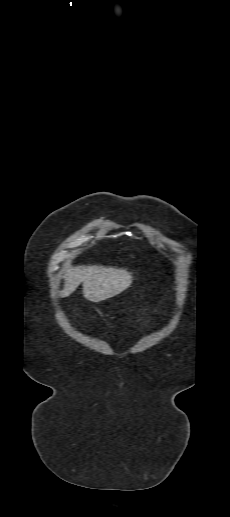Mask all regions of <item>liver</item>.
I'll return each instance as SVG.
<instances>
[{
	"instance_id": "obj_1",
	"label": "liver",
	"mask_w": 230,
	"mask_h": 517,
	"mask_svg": "<svg viewBox=\"0 0 230 517\" xmlns=\"http://www.w3.org/2000/svg\"><path fill=\"white\" fill-rule=\"evenodd\" d=\"M132 274L123 268L105 266L68 267L61 297H68L83 284V295L91 302H101L122 293L132 283Z\"/></svg>"
}]
</instances>
